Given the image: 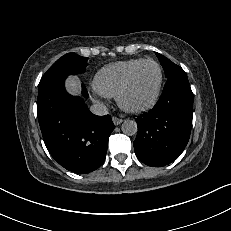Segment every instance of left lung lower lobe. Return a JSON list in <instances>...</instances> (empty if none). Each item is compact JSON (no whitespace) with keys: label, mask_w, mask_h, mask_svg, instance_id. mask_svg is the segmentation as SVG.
<instances>
[{"label":"left lung lower lobe","mask_w":231,"mask_h":231,"mask_svg":"<svg viewBox=\"0 0 231 231\" xmlns=\"http://www.w3.org/2000/svg\"><path fill=\"white\" fill-rule=\"evenodd\" d=\"M192 117L193 93L182 69L168 77L154 108L137 117V158L153 167L173 162L188 143Z\"/></svg>","instance_id":"obj_1"}]
</instances>
